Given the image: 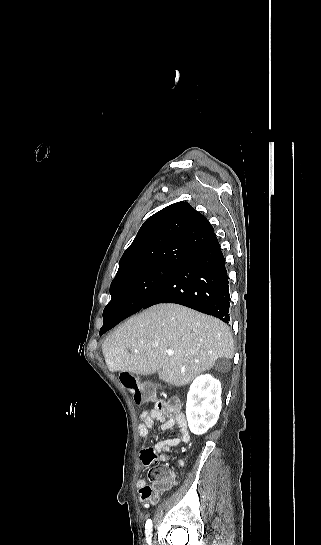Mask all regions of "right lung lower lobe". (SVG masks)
<instances>
[{"mask_svg":"<svg viewBox=\"0 0 321 545\" xmlns=\"http://www.w3.org/2000/svg\"><path fill=\"white\" fill-rule=\"evenodd\" d=\"M158 303L181 304L229 323L228 275L217 237L188 258L143 308ZM103 315L108 323L100 336L125 319L114 306L107 305Z\"/></svg>","mask_w":321,"mask_h":545,"instance_id":"obj_1","label":"right lung lower lobe"}]
</instances>
